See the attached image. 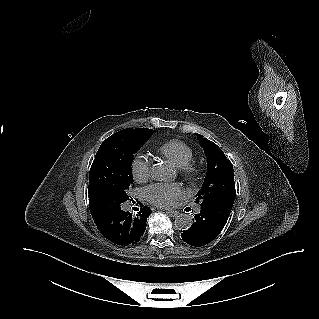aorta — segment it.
Wrapping results in <instances>:
<instances>
[{
    "label": "aorta",
    "instance_id": "1",
    "mask_svg": "<svg viewBox=\"0 0 319 319\" xmlns=\"http://www.w3.org/2000/svg\"><path fill=\"white\" fill-rule=\"evenodd\" d=\"M153 180L164 181L169 176L167 167L161 163L154 164L150 170ZM175 227L179 230H188L192 226V219L188 214H180L175 218Z\"/></svg>",
    "mask_w": 319,
    "mask_h": 319
}]
</instances>
